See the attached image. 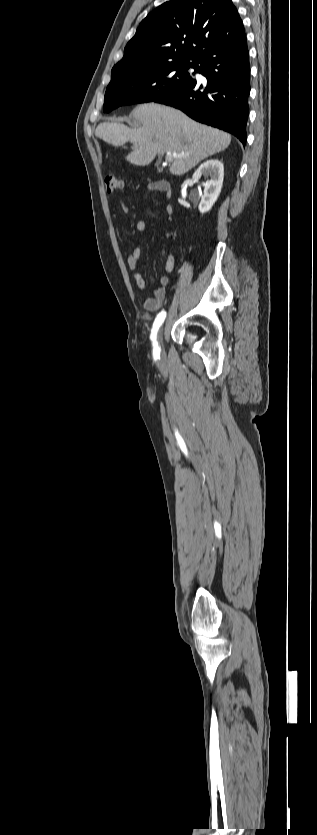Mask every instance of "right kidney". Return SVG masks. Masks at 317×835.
I'll use <instances>...</instances> for the list:
<instances>
[{"instance_id": "ca27d5eb", "label": "right kidney", "mask_w": 317, "mask_h": 835, "mask_svg": "<svg viewBox=\"0 0 317 835\" xmlns=\"http://www.w3.org/2000/svg\"><path fill=\"white\" fill-rule=\"evenodd\" d=\"M201 176L211 178L205 183L204 194L199 204L200 213H206L212 208L221 192L224 177L223 163L218 159L207 160L193 174V182H198Z\"/></svg>"}]
</instances>
